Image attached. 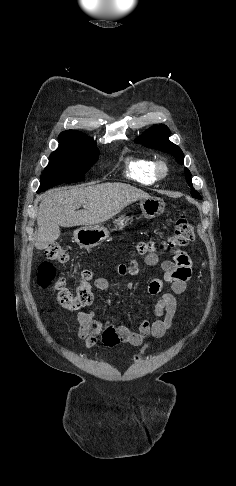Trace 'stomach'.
I'll return each mask as SVG.
<instances>
[{"label": "stomach", "instance_id": "obj_1", "mask_svg": "<svg viewBox=\"0 0 236 486\" xmlns=\"http://www.w3.org/2000/svg\"><path fill=\"white\" fill-rule=\"evenodd\" d=\"M142 215L147 219L158 217L164 212L165 203L157 197L142 199L140 202ZM132 222V217L121 215L114 221L119 229L125 228ZM110 232L102 225L83 226L74 231V240L80 248L91 249L98 246L109 237Z\"/></svg>", "mask_w": 236, "mask_h": 486}]
</instances>
